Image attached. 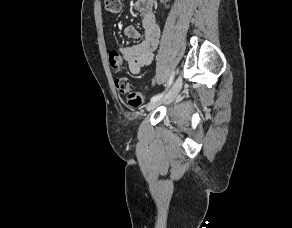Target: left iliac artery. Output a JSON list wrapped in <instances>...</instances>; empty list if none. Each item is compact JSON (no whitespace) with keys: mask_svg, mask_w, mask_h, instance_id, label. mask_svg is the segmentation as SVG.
Masks as SVG:
<instances>
[{"mask_svg":"<svg viewBox=\"0 0 292 228\" xmlns=\"http://www.w3.org/2000/svg\"><path fill=\"white\" fill-rule=\"evenodd\" d=\"M173 78H174V73H172L171 76H170V78H169L167 89L164 92H162V93H159L157 95H154L151 98V101H157V100H159L160 98H162L165 95L166 91L168 90V88L171 86V84L173 82Z\"/></svg>","mask_w":292,"mask_h":228,"instance_id":"obj_1","label":"left iliac artery"}]
</instances>
